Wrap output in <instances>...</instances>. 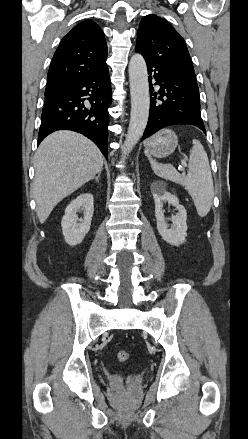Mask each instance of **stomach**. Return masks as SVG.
<instances>
[{"label":"stomach","mask_w":248,"mask_h":439,"mask_svg":"<svg viewBox=\"0 0 248 439\" xmlns=\"http://www.w3.org/2000/svg\"><path fill=\"white\" fill-rule=\"evenodd\" d=\"M178 145L177 135L170 129H163L146 142V149L156 158L169 156Z\"/></svg>","instance_id":"0dacf381"}]
</instances>
